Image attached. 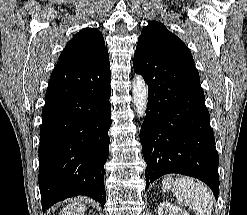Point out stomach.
Returning <instances> with one entry per match:
<instances>
[{"instance_id": "0dacf381", "label": "stomach", "mask_w": 247, "mask_h": 215, "mask_svg": "<svg viewBox=\"0 0 247 215\" xmlns=\"http://www.w3.org/2000/svg\"><path fill=\"white\" fill-rule=\"evenodd\" d=\"M172 187V180L168 179L163 181V189L164 190H169Z\"/></svg>"}]
</instances>
